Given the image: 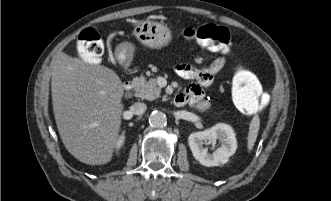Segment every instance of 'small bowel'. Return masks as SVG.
I'll list each match as a JSON object with an SVG mask.
<instances>
[{
	"label": "small bowel",
	"instance_id": "obj_1",
	"mask_svg": "<svg viewBox=\"0 0 331 201\" xmlns=\"http://www.w3.org/2000/svg\"><path fill=\"white\" fill-rule=\"evenodd\" d=\"M225 62L224 57H219L204 68H195L187 64L176 66V73L180 77L196 81V83L190 84L183 92L178 94L181 105L187 103L197 105L203 97L204 88L213 82L214 75L223 68Z\"/></svg>",
	"mask_w": 331,
	"mask_h": 201
}]
</instances>
